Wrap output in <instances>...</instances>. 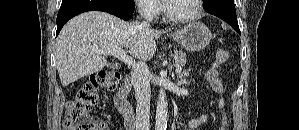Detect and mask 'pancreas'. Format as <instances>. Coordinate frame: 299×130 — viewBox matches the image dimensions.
Returning a JSON list of instances; mask_svg holds the SVG:
<instances>
[{"label": "pancreas", "mask_w": 299, "mask_h": 130, "mask_svg": "<svg viewBox=\"0 0 299 130\" xmlns=\"http://www.w3.org/2000/svg\"><path fill=\"white\" fill-rule=\"evenodd\" d=\"M174 60H175V66L183 67L186 64V53L182 50H175L174 51Z\"/></svg>", "instance_id": "pancreas-1"}]
</instances>
